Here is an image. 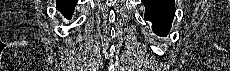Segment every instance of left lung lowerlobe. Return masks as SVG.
<instances>
[{"mask_svg":"<svg viewBox=\"0 0 230 71\" xmlns=\"http://www.w3.org/2000/svg\"><path fill=\"white\" fill-rule=\"evenodd\" d=\"M145 6V20L152 22L153 31L166 36L175 14L174 0H142Z\"/></svg>","mask_w":230,"mask_h":71,"instance_id":"1","label":"left lung lower lobe"}]
</instances>
